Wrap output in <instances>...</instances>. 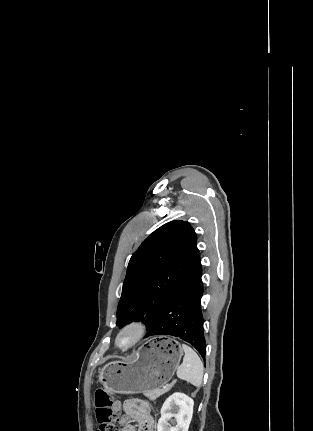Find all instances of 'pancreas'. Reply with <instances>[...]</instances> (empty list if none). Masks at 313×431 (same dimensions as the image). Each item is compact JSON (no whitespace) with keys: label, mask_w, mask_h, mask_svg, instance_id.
I'll return each mask as SVG.
<instances>
[{"label":"pancreas","mask_w":313,"mask_h":431,"mask_svg":"<svg viewBox=\"0 0 313 431\" xmlns=\"http://www.w3.org/2000/svg\"><path fill=\"white\" fill-rule=\"evenodd\" d=\"M171 388H172V385H168V386L164 387L163 389L145 391L144 395L147 398H149L150 400H155L158 397H160L161 395L167 393Z\"/></svg>","instance_id":"obj_1"}]
</instances>
